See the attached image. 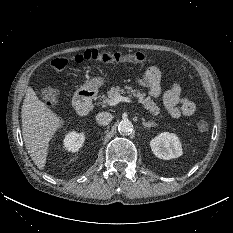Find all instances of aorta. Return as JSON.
I'll return each instance as SVG.
<instances>
[{
    "instance_id": "1",
    "label": "aorta",
    "mask_w": 233,
    "mask_h": 233,
    "mask_svg": "<svg viewBox=\"0 0 233 233\" xmlns=\"http://www.w3.org/2000/svg\"><path fill=\"white\" fill-rule=\"evenodd\" d=\"M118 131L121 134H129L133 131V124L131 121L129 120H122L119 124H118Z\"/></svg>"
}]
</instances>
